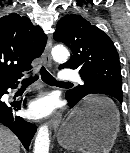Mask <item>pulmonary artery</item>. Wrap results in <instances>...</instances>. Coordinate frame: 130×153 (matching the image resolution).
Returning <instances> with one entry per match:
<instances>
[{"label": "pulmonary artery", "mask_w": 130, "mask_h": 153, "mask_svg": "<svg viewBox=\"0 0 130 153\" xmlns=\"http://www.w3.org/2000/svg\"><path fill=\"white\" fill-rule=\"evenodd\" d=\"M61 81L63 82H78L80 81V75L74 70H64L60 74Z\"/></svg>", "instance_id": "obj_1"}]
</instances>
